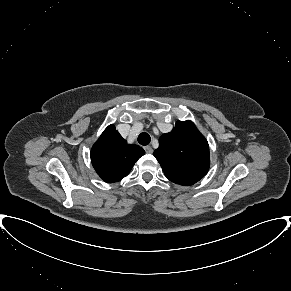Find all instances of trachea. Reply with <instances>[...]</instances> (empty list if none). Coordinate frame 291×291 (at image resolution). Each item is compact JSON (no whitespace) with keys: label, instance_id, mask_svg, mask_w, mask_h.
<instances>
[{"label":"trachea","instance_id":"obj_1","mask_svg":"<svg viewBox=\"0 0 291 291\" xmlns=\"http://www.w3.org/2000/svg\"><path fill=\"white\" fill-rule=\"evenodd\" d=\"M150 136L148 133L146 132H142L139 136H138V142L139 144L145 146V145H148L150 143Z\"/></svg>","mask_w":291,"mask_h":291}]
</instances>
